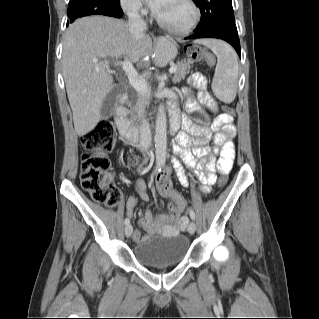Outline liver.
Instances as JSON below:
<instances>
[{
    "mask_svg": "<svg viewBox=\"0 0 319 319\" xmlns=\"http://www.w3.org/2000/svg\"><path fill=\"white\" fill-rule=\"evenodd\" d=\"M152 51L151 38L144 35L135 40L128 24L122 20L84 17L68 27L63 42L62 70L79 136L89 133L99 123L103 101L115 87L113 71L106 62L99 60L124 57L136 62ZM155 51L157 53V49ZM155 61L161 65L158 53Z\"/></svg>",
    "mask_w": 319,
    "mask_h": 319,
    "instance_id": "obj_1",
    "label": "liver"
}]
</instances>
